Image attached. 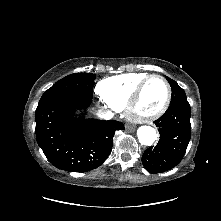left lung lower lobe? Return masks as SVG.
<instances>
[{"mask_svg":"<svg viewBox=\"0 0 221 221\" xmlns=\"http://www.w3.org/2000/svg\"><path fill=\"white\" fill-rule=\"evenodd\" d=\"M191 109L188 101L171 103L156 121L160 139L155 147L145 150L142 163L150 173L168 171L182 160L191 138Z\"/></svg>","mask_w":221,"mask_h":221,"instance_id":"0a47b994","label":"left lung lower lobe"}]
</instances>
